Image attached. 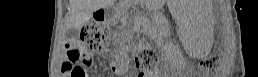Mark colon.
<instances>
[{"mask_svg": "<svg viewBox=\"0 0 258 77\" xmlns=\"http://www.w3.org/2000/svg\"><path fill=\"white\" fill-rule=\"evenodd\" d=\"M109 36V28L104 22H95L86 26L80 36L81 42L92 51H100L104 48ZM137 67L142 71H152L157 65L156 52L144 45H139L136 53ZM90 62L85 61L84 53L78 48H70L66 51V58L62 64V71L69 77H87L86 67ZM219 67V60L210 56L202 61L201 68L205 73H213Z\"/></svg>", "mask_w": 258, "mask_h": 77, "instance_id": "colon-1", "label": "colon"}]
</instances>
